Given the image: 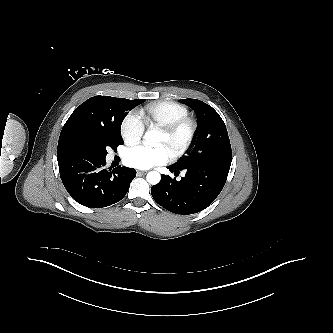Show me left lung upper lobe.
<instances>
[{
    "mask_svg": "<svg viewBox=\"0 0 333 333\" xmlns=\"http://www.w3.org/2000/svg\"><path fill=\"white\" fill-rule=\"evenodd\" d=\"M181 102L196 112L199 133L193 150L173 165L178 168L201 163L230 165L232 157L230 140L219 114L211 106L197 99H181Z\"/></svg>",
    "mask_w": 333,
    "mask_h": 333,
    "instance_id": "1",
    "label": "left lung upper lobe"
}]
</instances>
